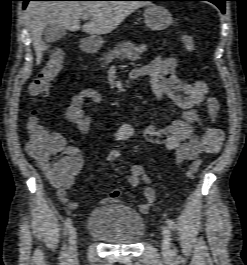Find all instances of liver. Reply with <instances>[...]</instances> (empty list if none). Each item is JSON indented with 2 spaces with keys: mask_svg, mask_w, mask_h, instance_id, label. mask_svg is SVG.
<instances>
[{
  "mask_svg": "<svg viewBox=\"0 0 247 265\" xmlns=\"http://www.w3.org/2000/svg\"><path fill=\"white\" fill-rule=\"evenodd\" d=\"M148 5L142 1H31L25 11V22L32 37L37 63L49 46L42 40L49 24L60 25L70 31L80 29V19L91 17L82 30L92 36L115 30L136 9Z\"/></svg>",
  "mask_w": 247,
  "mask_h": 265,
  "instance_id": "obj_1",
  "label": "liver"
}]
</instances>
